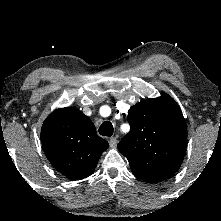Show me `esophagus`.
Masks as SVG:
<instances>
[{"label": "esophagus", "mask_w": 221, "mask_h": 221, "mask_svg": "<svg viewBox=\"0 0 221 221\" xmlns=\"http://www.w3.org/2000/svg\"><path fill=\"white\" fill-rule=\"evenodd\" d=\"M117 143H118V140L116 137H111L109 139V145L112 147V148H115L117 146Z\"/></svg>", "instance_id": "1"}]
</instances>
